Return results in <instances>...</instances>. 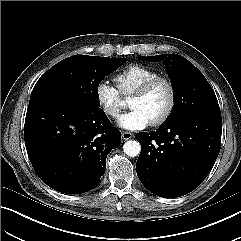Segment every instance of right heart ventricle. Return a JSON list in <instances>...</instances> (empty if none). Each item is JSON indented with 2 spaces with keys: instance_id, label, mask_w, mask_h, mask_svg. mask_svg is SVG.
Masks as SVG:
<instances>
[{
  "instance_id": "1",
  "label": "right heart ventricle",
  "mask_w": 241,
  "mask_h": 241,
  "mask_svg": "<svg viewBox=\"0 0 241 241\" xmlns=\"http://www.w3.org/2000/svg\"><path fill=\"white\" fill-rule=\"evenodd\" d=\"M159 76V72L149 66L131 64L116 74L114 80L121 94H132L145 82Z\"/></svg>"
}]
</instances>
